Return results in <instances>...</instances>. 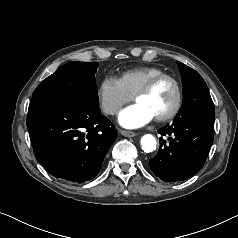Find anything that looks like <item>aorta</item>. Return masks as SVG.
Segmentation results:
<instances>
[{
    "instance_id": "1",
    "label": "aorta",
    "mask_w": 238,
    "mask_h": 238,
    "mask_svg": "<svg viewBox=\"0 0 238 238\" xmlns=\"http://www.w3.org/2000/svg\"><path fill=\"white\" fill-rule=\"evenodd\" d=\"M141 148L147 153L153 152L156 150V139L151 134H145L141 137Z\"/></svg>"
}]
</instances>
